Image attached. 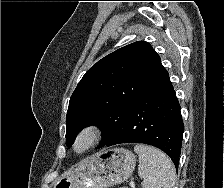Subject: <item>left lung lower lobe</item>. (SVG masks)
Returning <instances> with one entry per match:
<instances>
[{
    "mask_svg": "<svg viewBox=\"0 0 224 188\" xmlns=\"http://www.w3.org/2000/svg\"><path fill=\"white\" fill-rule=\"evenodd\" d=\"M183 131L180 105L167 74L136 99L121 126L104 146L120 143L152 145L169 155L178 169Z\"/></svg>",
    "mask_w": 224,
    "mask_h": 188,
    "instance_id": "1",
    "label": "left lung lower lobe"
}]
</instances>
